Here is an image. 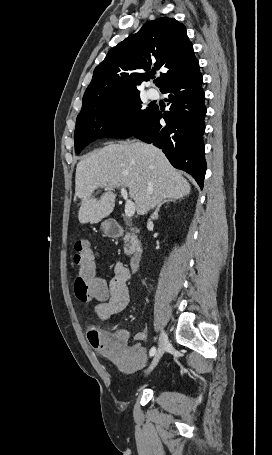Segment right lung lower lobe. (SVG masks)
Listing matches in <instances>:
<instances>
[{
  "mask_svg": "<svg viewBox=\"0 0 272 455\" xmlns=\"http://www.w3.org/2000/svg\"><path fill=\"white\" fill-rule=\"evenodd\" d=\"M202 80L198 70L162 90L169 95V111L162 113L156 107L132 135L162 149L170 163L190 173L201 189L206 172L203 144L206 107ZM161 118L165 124H160Z\"/></svg>",
  "mask_w": 272,
  "mask_h": 455,
  "instance_id": "obj_1",
  "label": "right lung lower lobe"
}]
</instances>
